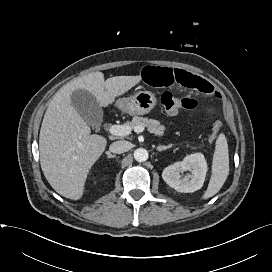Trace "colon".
I'll list each match as a JSON object with an SVG mask.
<instances>
[{"mask_svg":"<svg viewBox=\"0 0 272 272\" xmlns=\"http://www.w3.org/2000/svg\"><path fill=\"white\" fill-rule=\"evenodd\" d=\"M161 103L164 109L171 114L178 113L180 111H189L195 109L197 102L189 97H178L171 92H164L161 96ZM221 129V123L215 121L212 127L210 140H214Z\"/></svg>","mask_w":272,"mask_h":272,"instance_id":"1","label":"colon"}]
</instances>
